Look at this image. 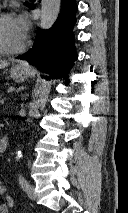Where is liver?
Masks as SVG:
<instances>
[{"mask_svg": "<svg viewBox=\"0 0 128 213\" xmlns=\"http://www.w3.org/2000/svg\"><path fill=\"white\" fill-rule=\"evenodd\" d=\"M9 65L8 61L0 60V69H3Z\"/></svg>", "mask_w": 128, "mask_h": 213, "instance_id": "liver-1", "label": "liver"}]
</instances>
